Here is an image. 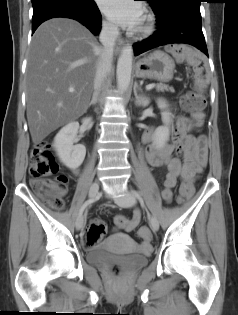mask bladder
<instances>
[{
	"label": "bladder",
	"mask_w": 238,
	"mask_h": 315,
	"mask_svg": "<svg viewBox=\"0 0 238 315\" xmlns=\"http://www.w3.org/2000/svg\"><path fill=\"white\" fill-rule=\"evenodd\" d=\"M98 249H119V248H93L87 252V262L92 265H100L104 263L109 256H98ZM150 250L139 253V256H118L122 263L128 267H142L147 263V257Z\"/></svg>",
	"instance_id": "31cf9c89"
}]
</instances>
